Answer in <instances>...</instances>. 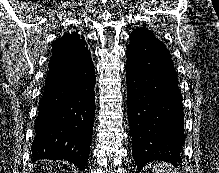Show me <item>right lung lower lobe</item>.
Here are the masks:
<instances>
[{"mask_svg":"<svg viewBox=\"0 0 219 173\" xmlns=\"http://www.w3.org/2000/svg\"><path fill=\"white\" fill-rule=\"evenodd\" d=\"M94 86L90 52L65 65L50 59L34 125L33 161L68 160L84 169L95 117Z\"/></svg>","mask_w":219,"mask_h":173,"instance_id":"obj_1","label":"right lung lower lobe"}]
</instances>
